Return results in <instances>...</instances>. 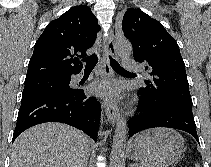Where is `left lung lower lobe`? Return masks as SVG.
I'll use <instances>...</instances> for the list:
<instances>
[{
  "label": "left lung lower lobe",
  "mask_w": 211,
  "mask_h": 167,
  "mask_svg": "<svg viewBox=\"0 0 211 167\" xmlns=\"http://www.w3.org/2000/svg\"><path fill=\"white\" fill-rule=\"evenodd\" d=\"M138 108L140 113L128 121L129 137L148 128L169 127L186 131L198 141L192 111L173 105L152 104L142 95Z\"/></svg>",
  "instance_id": "left-lung-lower-lobe-1"
}]
</instances>
